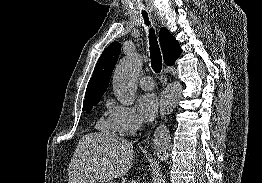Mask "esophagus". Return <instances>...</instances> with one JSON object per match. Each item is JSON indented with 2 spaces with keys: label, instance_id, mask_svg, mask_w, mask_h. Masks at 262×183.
I'll return each mask as SVG.
<instances>
[{
  "label": "esophagus",
  "instance_id": "esophagus-1",
  "mask_svg": "<svg viewBox=\"0 0 262 183\" xmlns=\"http://www.w3.org/2000/svg\"><path fill=\"white\" fill-rule=\"evenodd\" d=\"M167 81H168V78H167V75L165 74L163 76V85L165 86L167 84Z\"/></svg>",
  "mask_w": 262,
  "mask_h": 183
}]
</instances>
